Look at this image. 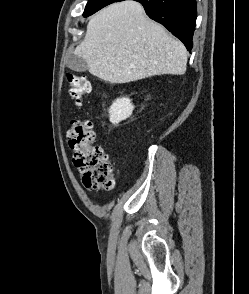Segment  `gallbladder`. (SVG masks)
I'll return each instance as SVG.
<instances>
[{
    "label": "gallbladder",
    "mask_w": 249,
    "mask_h": 294,
    "mask_svg": "<svg viewBox=\"0 0 249 294\" xmlns=\"http://www.w3.org/2000/svg\"><path fill=\"white\" fill-rule=\"evenodd\" d=\"M66 66L70 70H73L76 72H84L88 69L87 62L83 58L76 56L75 54H71L68 57L67 62H66Z\"/></svg>",
    "instance_id": "1"
}]
</instances>
